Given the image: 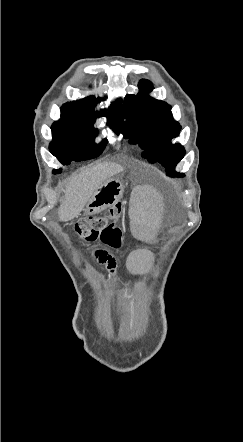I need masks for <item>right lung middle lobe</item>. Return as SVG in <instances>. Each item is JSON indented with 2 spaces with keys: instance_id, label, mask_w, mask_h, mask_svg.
<instances>
[{
  "instance_id": "1",
  "label": "right lung middle lobe",
  "mask_w": 243,
  "mask_h": 442,
  "mask_svg": "<svg viewBox=\"0 0 243 442\" xmlns=\"http://www.w3.org/2000/svg\"><path fill=\"white\" fill-rule=\"evenodd\" d=\"M61 113V119L51 127L53 141L50 143V152L64 165L99 156L108 141L103 139L100 144L94 143L98 134V130L93 128L95 120L79 118L63 110ZM110 125L118 134L120 127Z\"/></svg>"
}]
</instances>
